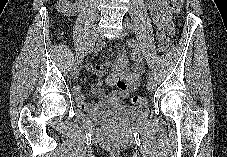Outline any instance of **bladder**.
Instances as JSON below:
<instances>
[{"mask_svg":"<svg viewBox=\"0 0 227 157\" xmlns=\"http://www.w3.org/2000/svg\"><path fill=\"white\" fill-rule=\"evenodd\" d=\"M143 110L140 107L114 104L92 111L90 116L105 125L118 126L128 124L137 119Z\"/></svg>","mask_w":227,"mask_h":157,"instance_id":"obj_1","label":"bladder"}]
</instances>
